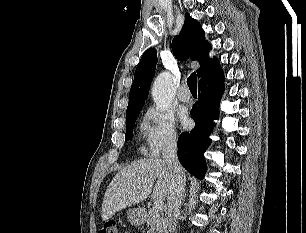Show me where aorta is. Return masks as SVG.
<instances>
[{
  "label": "aorta",
  "instance_id": "aorta-1",
  "mask_svg": "<svg viewBox=\"0 0 306 233\" xmlns=\"http://www.w3.org/2000/svg\"><path fill=\"white\" fill-rule=\"evenodd\" d=\"M152 98L160 111L167 110L173 101L172 77L169 72H161L155 79L152 90Z\"/></svg>",
  "mask_w": 306,
  "mask_h": 233
}]
</instances>
